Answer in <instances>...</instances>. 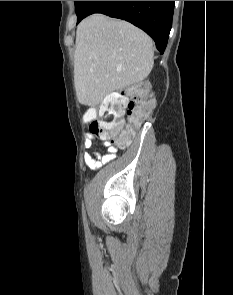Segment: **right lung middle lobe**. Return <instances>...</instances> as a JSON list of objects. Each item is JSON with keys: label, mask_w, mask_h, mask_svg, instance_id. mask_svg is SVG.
I'll list each match as a JSON object with an SVG mask.
<instances>
[{"label": "right lung middle lobe", "mask_w": 233, "mask_h": 295, "mask_svg": "<svg viewBox=\"0 0 233 295\" xmlns=\"http://www.w3.org/2000/svg\"><path fill=\"white\" fill-rule=\"evenodd\" d=\"M74 2H75V12L77 14V22H78L83 14L84 8L88 1H74Z\"/></svg>", "instance_id": "obj_1"}]
</instances>
